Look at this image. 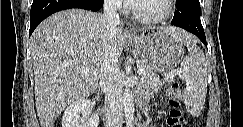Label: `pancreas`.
I'll return each mask as SVG.
<instances>
[{"mask_svg":"<svg viewBox=\"0 0 243 127\" xmlns=\"http://www.w3.org/2000/svg\"><path fill=\"white\" fill-rule=\"evenodd\" d=\"M140 68L145 70V73L142 75V79L146 80L152 91H158L161 89L165 82L173 81V78L170 75H166L165 78L160 79L156 71L145 61H141Z\"/></svg>","mask_w":243,"mask_h":127,"instance_id":"pancreas-1","label":"pancreas"}]
</instances>
